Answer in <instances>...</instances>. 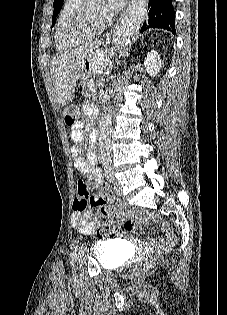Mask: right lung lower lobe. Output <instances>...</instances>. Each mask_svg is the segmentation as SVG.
I'll return each mask as SVG.
<instances>
[{
	"instance_id": "1",
	"label": "right lung lower lobe",
	"mask_w": 227,
	"mask_h": 315,
	"mask_svg": "<svg viewBox=\"0 0 227 315\" xmlns=\"http://www.w3.org/2000/svg\"><path fill=\"white\" fill-rule=\"evenodd\" d=\"M150 27L164 28L175 33V13L172 0H149L148 17L140 32Z\"/></svg>"
}]
</instances>
